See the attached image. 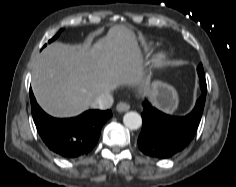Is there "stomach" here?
<instances>
[{
  "instance_id": "1",
  "label": "stomach",
  "mask_w": 236,
  "mask_h": 187,
  "mask_svg": "<svg viewBox=\"0 0 236 187\" xmlns=\"http://www.w3.org/2000/svg\"><path fill=\"white\" fill-rule=\"evenodd\" d=\"M149 98L154 106L165 112H174L178 106V93L176 89L166 83L156 81L149 89Z\"/></svg>"
}]
</instances>
